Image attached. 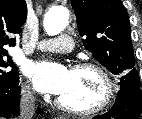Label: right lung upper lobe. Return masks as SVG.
I'll return each mask as SVG.
<instances>
[{
  "label": "right lung upper lobe",
  "mask_w": 142,
  "mask_h": 119,
  "mask_svg": "<svg viewBox=\"0 0 142 119\" xmlns=\"http://www.w3.org/2000/svg\"><path fill=\"white\" fill-rule=\"evenodd\" d=\"M26 17L25 0H0V50L15 45L16 38L12 35L21 32Z\"/></svg>",
  "instance_id": "obj_1"
}]
</instances>
